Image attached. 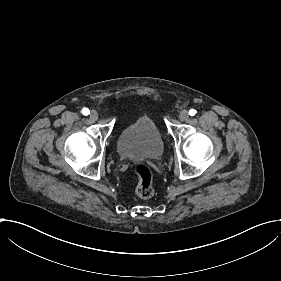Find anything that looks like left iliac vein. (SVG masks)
<instances>
[{"mask_svg": "<svg viewBox=\"0 0 281 281\" xmlns=\"http://www.w3.org/2000/svg\"><path fill=\"white\" fill-rule=\"evenodd\" d=\"M180 116H181V118H182V119H184V120H185V119H187V118H188L189 113H188V111H187V110H185V109H184V110H182V111H181Z\"/></svg>", "mask_w": 281, "mask_h": 281, "instance_id": "1", "label": "left iliac vein"}]
</instances>
